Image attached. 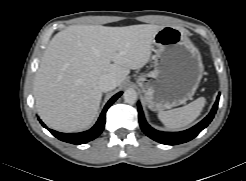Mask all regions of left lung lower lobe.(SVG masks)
Masks as SVG:
<instances>
[{"instance_id": "obj_1", "label": "left lung lower lobe", "mask_w": 246, "mask_h": 181, "mask_svg": "<svg viewBox=\"0 0 246 181\" xmlns=\"http://www.w3.org/2000/svg\"><path fill=\"white\" fill-rule=\"evenodd\" d=\"M219 96L220 95H218V98L207 117L192 128L181 132H161L151 128L144 118L140 103H138L140 127L148 137L165 145H177L188 142L195 138L212 121L217 111Z\"/></svg>"}]
</instances>
